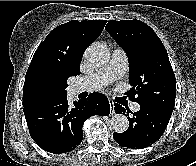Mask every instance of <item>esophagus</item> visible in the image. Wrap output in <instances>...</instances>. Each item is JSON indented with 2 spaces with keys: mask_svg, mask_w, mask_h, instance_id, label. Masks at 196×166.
Wrapping results in <instances>:
<instances>
[{
  "mask_svg": "<svg viewBox=\"0 0 196 166\" xmlns=\"http://www.w3.org/2000/svg\"><path fill=\"white\" fill-rule=\"evenodd\" d=\"M109 104H110V107H111V113L114 114L115 113L114 101L112 99H109Z\"/></svg>",
  "mask_w": 196,
  "mask_h": 166,
  "instance_id": "1",
  "label": "esophagus"
}]
</instances>
